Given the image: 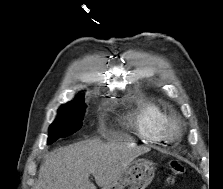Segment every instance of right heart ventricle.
Listing matches in <instances>:
<instances>
[{
    "label": "right heart ventricle",
    "mask_w": 223,
    "mask_h": 189,
    "mask_svg": "<svg viewBox=\"0 0 223 189\" xmlns=\"http://www.w3.org/2000/svg\"><path fill=\"white\" fill-rule=\"evenodd\" d=\"M168 116L158 103L141 100L129 108L123 119V125L133 131L142 141L158 144L168 140L163 129Z\"/></svg>",
    "instance_id": "obj_1"
}]
</instances>
